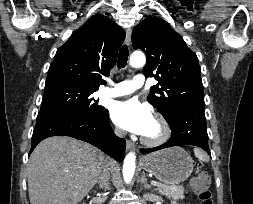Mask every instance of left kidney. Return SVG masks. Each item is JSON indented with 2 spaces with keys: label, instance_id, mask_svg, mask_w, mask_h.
<instances>
[{
  "label": "left kidney",
  "instance_id": "1",
  "mask_svg": "<svg viewBox=\"0 0 253 204\" xmlns=\"http://www.w3.org/2000/svg\"><path fill=\"white\" fill-rule=\"evenodd\" d=\"M172 204H177V203L175 201H173Z\"/></svg>",
  "mask_w": 253,
  "mask_h": 204
}]
</instances>
